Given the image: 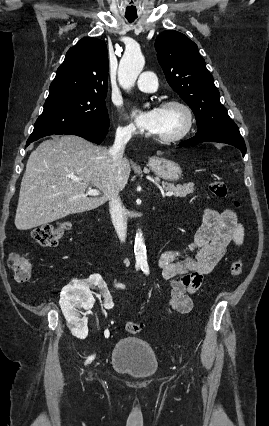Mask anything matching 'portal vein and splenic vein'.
Listing matches in <instances>:
<instances>
[{
	"instance_id": "obj_1",
	"label": "portal vein and splenic vein",
	"mask_w": 269,
	"mask_h": 426,
	"mask_svg": "<svg viewBox=\"0 0 269 426\" xmlns=\"http://www.w3.org/2000/svg\"><path fill=\"white\" fill-rule=\"evenodd\" d=\"M74 180L79 181L80 179L79 178H74ZM87 194L90 195V196H99L100 192L98 190H96V189H90V190H88ZM165 195L168 196V197H170V196L173 195V192H170V191L166 192Z\"/></svg>"
}]
</instances>
